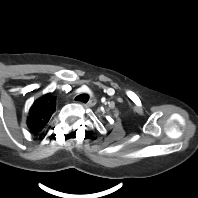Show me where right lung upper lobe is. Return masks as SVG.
Listing matches in <instances>:
<instances>
[{
    "label": "right lung upper lobe",
    "instance_id": "right-lung-upper-lobe-1",
    "mask_svg": "<svg viewBox=\"0 0 198 198\" xmlns=\"http://www.w3.org/2000/svg\"><path fill=\"white\" fill-rule=\"evenodd\" d=\"M56 110V101L51 93L37 99L29 110L28 128L33 133L40 132Z\"/></svg>",
    "mask_w": 198,
    "mask_h": 198
}]
</instances>
